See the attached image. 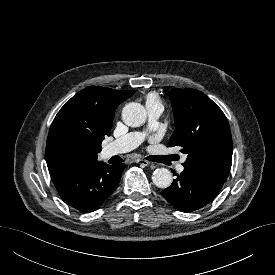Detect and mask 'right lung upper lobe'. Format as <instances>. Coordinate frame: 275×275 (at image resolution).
Listing matches in <instances>:
<instances>
[{"mask_svg":"<svg viewBox=\"0 0 275 275\" xmlns=\"http://www.w3.org/2000/svg\"><path fill=\"white\" fill-rule=\"evenodd\" d=\"M134 90H113L90 86L73 96L54 118L46 143V162L50 175L98 163L101 142L109 136L116 108ZM83 146V153L69 159L63 154L67 143Z\"/></svg>","mask_w":275,"mask_h":275,"instance_id":"cb5924a9","label":"right lung upper lobe"}]
</instances>
